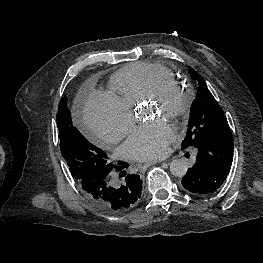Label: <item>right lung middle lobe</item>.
<instances>
[{
  "label": "right lung middle lobe",
  "mask_w": 263,
  "mask_h": 263,
  "mask_svg": "<svg viewBox=\"0 0 263 263\" xmlns=\"http://www.w3.org/2000/svg\"><path fill=\"white\" fill-rule=\"evenodd\" d=\"M57 126L61 154L77 182L87 176L107 174L113 169L114 164L107 154L86 140L73 125L66 97L59 103Z\"/></svg>",
  "instance_id": "1"
}]
</instances>
